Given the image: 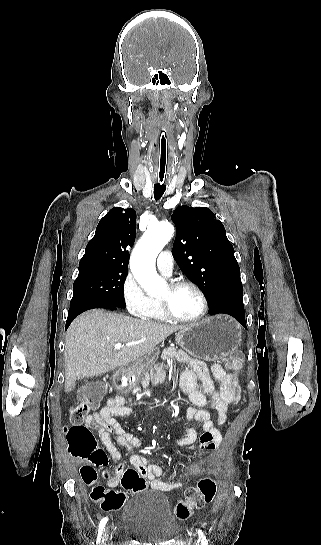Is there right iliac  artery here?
Listing matches in <instances>:
<instances>
[{
	"label": "right iliac artery",
	"instance_id": "obj_1",
	"mask_svg": "<svg viewBox=\"0 0 321 545\" xmlns=\"http://www.w3.org/2000/svg\"><path fill=\"white\" fill-rule=\"evenodd\" d=\"M107 518H103L101 521H100V524H99V530H98V536H97V544L100 543V540H101V537H102V534H103V531H104V527H105V524L107 522Z\"/></svg>",
	"mask_w": 321,
	"mask_h": 545
}]
</instances>
